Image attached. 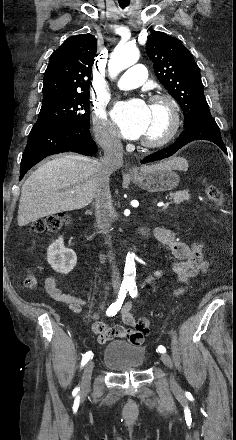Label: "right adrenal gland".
Instances as JSON below:
<instances>
[{"instance_id":"obj_1","label":"right adrenal gland","mask_w":236,"mask_h":440,"mask_svg":"<svg viewBox=\"0 0 236 440\" xmlns=\"http://www.w3.org/2000/svg\"><path fill=\"white\" fill-rule=\"evenodd\" d=\"M87 213L91 214V211H89V212H87Z\"/></svg>"}]
</instances>
